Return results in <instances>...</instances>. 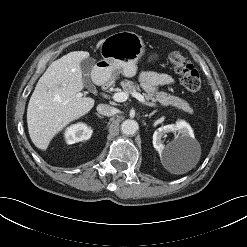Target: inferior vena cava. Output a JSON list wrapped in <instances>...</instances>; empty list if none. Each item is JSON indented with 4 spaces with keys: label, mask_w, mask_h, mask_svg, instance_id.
Returning a JSON list of instances; mask_svg holds the SVG:
<instances>
[{
    "label": "inferior vena cava",
    "mask_w": 247,
    "mask_h": 247,
    "mask_svg": "<svg viewBox=\"0 0 247 247\" xmlns=\"http://www.w3.org/2000/svg\"><path fill=\"white\" fill-rule=\"evenodd\" d=\"M98 113L104 115V116H112L117 113V109L115 107H112L108 104H99L97 106Z\"/></svg>",
    "instance_id": "inferior-vena-cava-1"
}]
</instances>
